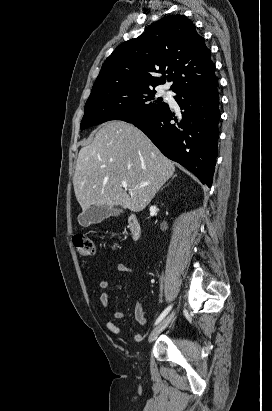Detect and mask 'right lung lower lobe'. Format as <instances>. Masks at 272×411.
I'll return each instance as SVG.
<instances>
[{
    "mask_svg": "<svg viewBox=\"0 0 272 411\" xmlns=\"http://www.w3.org/2000/svg\"><path fill=\"white\" fill-rule=\"evenodd\" d=\"M218 79L205 85L185 88L174 97L181 111L167 104L153 116L135 121L158 149L194 173L211 187L217 158L220 119Z\"/></svg>",
    "mask_w": 272,
    "mask_h": 411,
    "instance_id": "98d812e1",
    "label": "right lung lower lobe"
}]
</instances>
